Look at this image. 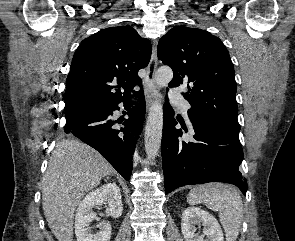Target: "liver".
<instances>
[{"mask_svg":"<svg viewBox=\"0 0 295 241\" xmlns=\"http://www.w3.org/2000/svg\"><path fill=\"white\" fill-rule=\"evenodd\" d=\"M113 167L96 150L78 140L57 143L43 177L42 206L58 241H73L76 207Z\"/></svg>","mask_w":295,"mask_h":241,"instance_id":"obj_1","label":"liver"}]
</instances>
